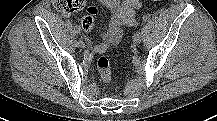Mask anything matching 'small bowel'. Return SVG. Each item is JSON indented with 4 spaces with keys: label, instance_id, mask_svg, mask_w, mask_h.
I'll use <instances>...</instances> for the list:
<instances>
[{
    "label": "small bowel",
    "instance_id": "small-bowel-1",
    "mask_svg": "<svg viewBox=\"0 0 217 121\" xmlns=\"http://www.w3.org/2000/svg\"><path fill=\"white\" fill-rule=\"evenodd\" d=\"M110 14V21L103 33V41L93 47L95 52H104L108 47L119 43L123 27H134L137 24L136 10L143 0H99Z\"/></svg>",
    "mask_w": 217,
    "mask_h": 121
}]
</instances>
